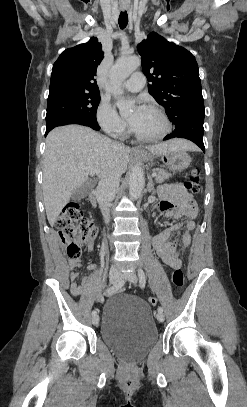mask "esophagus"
I'll list each match as a JSON object with an SVG mask.
<instances>
[{"instance_id":"1","label":"esophagus","mask_w":247,"mask_h":407,"mask_svg":"<svg viewBox=\"0 0 247 407\" xmlns=\"http://www.w3.org/2000/svg\"><path fill=\"white\" fill-rule=\"evenodd\" d=\"M122 10H126V8L123 7ZM133 150L136 151V150H139V148L135 147Z\"/></svg>"}]
</instances>
